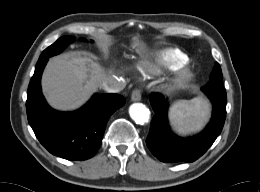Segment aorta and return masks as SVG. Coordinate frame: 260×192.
<instances>
[{"label":"aorta","mask_w":260,"mask_h":192,"mask_svg":"<svg viewBox=\"0 0 260 192\" xmlns=\"http://www.w3.org/2000/svg\"><path fill=\"white\" fill-rule=\"evenodd\" d=\"M130 117L140 125L147 123L150 118L149 109L142 103H134L129 108Z\"/></svg>","instance_id":"1"}]
</instances>
